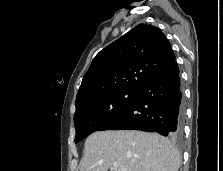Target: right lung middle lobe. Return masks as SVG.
Returning <instances> with one entry per match:
<instances>
[{
  "mask_svg": "<svg viewBox=\"0 0 223 171\" xmlns=\"http://www.w3.org/2000/svg\"><path fill=\"white\" fill-rule=\"evenodd\" d=\"M135 91H119L99 97L76 109L74 125L75 143L117 117L136 97Z\"/></svg>",
  "mask_w": 223,
  "mask_h": 171,
  "instance_id": "1",
  "label": "right lung middle lobe"
}]
</instances>
